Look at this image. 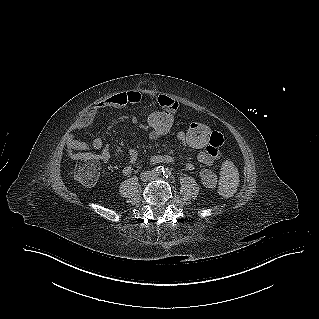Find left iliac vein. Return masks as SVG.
I'll use <instances>...</instances> for the list:
<instances>
[{"mask_svg": "<svg viewBox=\"0 0 319 319\" xmlns=\"http://www.w3.org/2000/svg\"><path fill=\"white\" fill-rule=\"evenodd\" d=\"M151 176H152L153 179L159 178V175L157 173H155V172L151 173Z\"/></svg>", "mask_w": 319, "mask_h": 319, "instance_id": "1", "label": "left iliac vein"}]
</instances>
